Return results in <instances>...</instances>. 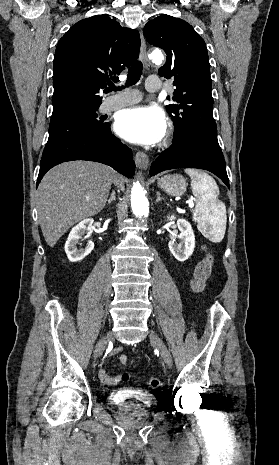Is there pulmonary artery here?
Segmentation results:
<instances>
[{
  "label": "pulmonary artery",
  "mask_w": 279,
  "mask_h": 465,
  "mask_svg": "<svg viewBox=\"0 0 279 465\" xmlns=\"http://www.w3.org/2000/svg\"><path fill=\"white\" fill-rule=\"evenodd\" d=\"M146 89L149 92H157L161 89L160 80L156 76H150L146 81ZM141 93L137 90H126L120 94L106 99L102 106V112H110L128 105H132L141 100Z\"/></svg>",
  "instance_id": "obj_1"
}]
</instances>
